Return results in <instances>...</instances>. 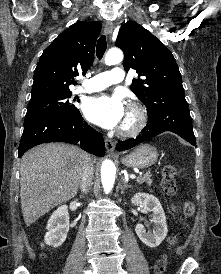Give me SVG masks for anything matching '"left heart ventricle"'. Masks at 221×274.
<instances>
[{
  "mask_svg": "<svg viewBox=\"0 0 221 274\" xmlns=\"http://www.w3.org/2000/svg\"><path fill=\"white\" fill-rule=\"evenodd\" d=\"M130 119H131V115H130V114H129V112L127 111V112H126V114H125V117H124L123 123H124V122H128V121H130Z\"/></svg>",
  "mask_w": 221,
  "mask_h": 274,
  "instance_id": "1",
  "label": "left heart ventricle"
}]
</instances>
